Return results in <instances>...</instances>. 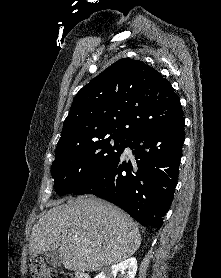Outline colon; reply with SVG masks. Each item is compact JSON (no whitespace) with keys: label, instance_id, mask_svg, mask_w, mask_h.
I'll list each match as a JSON object with an SVG mask.
<instances>
[{"label":"colon","instance_id":"1","mask_svg":"<svg viewBox=\"0 0 221 278\" xmlns=\"http://www.w3.org/2000/svg\"><path fill=\"white\" fill-rule=\"evenodd\" d=\"M28 267L34 278H61L56 269L49 266L40 257L29 258Z\"/></svg>","mask_w":221,"mask_h":278}]
</instances>
